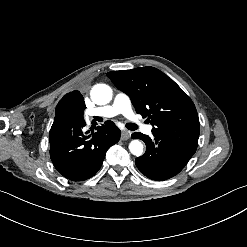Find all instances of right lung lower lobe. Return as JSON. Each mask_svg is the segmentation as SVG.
I'll list each match as a JSON object with an SVG mask.
<instances>
[{
  "instance_id": "right-lung-lower-lobe-1",
  "label": "right lung lower lobe",
  "mask_w": 247,
  "mask_h": 247,
  "mask_svg": "<svg viewBox=\"0 0 247 247\" xmlns=\"http://www.w3.org/2000/svg\"><path fill=\"white\" fill-rule=\"evenodd\" d=\"M85 125L83 122L49 133L52 163L61 175L72 181L94 176L102 166L106 151L121 135L112 121L98 126L97 132L89 136L83 131Z\"/></svg>"
}]
</instances>
